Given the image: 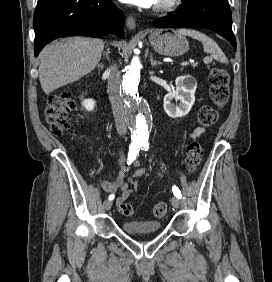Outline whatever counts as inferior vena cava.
<instances>
[{
	"instance_id": "602c4592",
	"label": "inferior vena cava",
	"mask_w": 272,
	"mask_h": 282,
	"mask_svg": "<svg viewBox=\"0 0 272 282\" xmlns=\"http://www.w3.org/2000/svg\"><path fill=\"white\" fill-rule=\"evenodd\" d=\"M108 95L112 105L116 129L119 135L123 136L127 132V121L121 98V75L116 65L108 70Z\"/></svg>"
}]
</instances>
